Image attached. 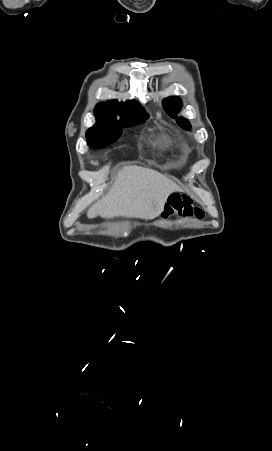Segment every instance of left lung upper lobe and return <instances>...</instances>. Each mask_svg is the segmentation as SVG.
<instances>
[{
    "label": "left lung upper lobe",
    "mask_w": 272,
    "mask_h": 451,
    "mask_svg": "<svg viewBox=\"0 0 272 451\" xmlns=\"http://www.w3.org/2000/svg\"><path fill=\"white\" fill-rule=\"evenodd\" d=\"M163 106L167 113L171 117H174L181 106V100L178 97H169L163 101ZM175 119L177 120L178 124L184 129H191V126L186 119L177 117Z\"/></svg>",
    "instance_id": "1"
}]
</instances>
